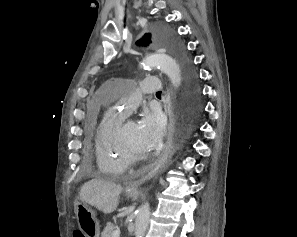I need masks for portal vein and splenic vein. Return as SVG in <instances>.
I'll use <instances>...</instances> for the list:
<instances>
[{"label": "portal vein and splenic vein", "instance_id": "portal-vein-and-splenic-vein-1", "mask_svg": "<svg viewBox=\"0 0 297 237\" xmlns=\"http://www.w3.org/2000/svg\"><path fill=\"white\" fill-rule=\"evenodd\" d=\"M112 237H120V231L119 230H115L112 234Z\"/></svg>", "mask_w": 297, "mask_h": 237}]
</instances>
